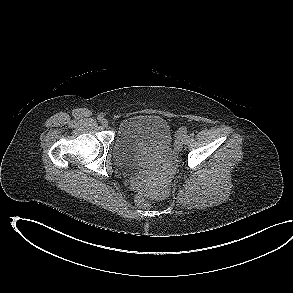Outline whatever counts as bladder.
I'll list each match as a JSON object with an SVG mask.
<instances>
[{
    "instance_id": "bladder-1",
    "label": "bladder",
    "mask_w": 293,
    "mask_h": 293,
    "mask_svg": "<svg viewBox=\"0 0 293 293\" xmlns=\"http://www.w3.org/2000/svg\"><path fill=\"white\" fill-rule=\"evenodd\" d=\"M173 136L169 123L158 115L137 114L119 124L113 143V157L125 168H142L154 164L153 151H166Z\"/></svg>"
}]
</instances>
